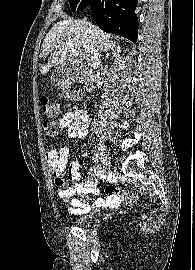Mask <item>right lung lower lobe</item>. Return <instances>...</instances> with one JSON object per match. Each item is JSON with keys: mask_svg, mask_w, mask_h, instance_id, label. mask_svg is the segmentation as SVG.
<instances>
[{"mask_svg": "<svg viewBox=\"0 0 195 270\" xmlns=\"http://www.w3.org/2000/svg\"><path fill=\"white\" fill-rule=\"evenodd\" d=\"M82 2L90 7L94 20L103 31L126 37L133 42L137 41L138 20L134 13L137 0H82Z\"/></svg>", "mask_w": 195, "mask_h": 270, "instance_id": "right-lung-lower-lobe-1", "label": "right lung lower lobe"}]
</instances>
